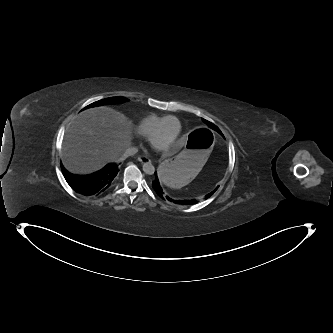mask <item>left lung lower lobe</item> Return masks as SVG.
Wrapping results in <instances>:
<instances>
[{
    "instance_id": "left-lung-lower-lobe-1",
    "label": "left lung lower lobe",
    "mask_w": 333,
    "mask_h": 333,
    "mask_svg": "<svg viewBox=\"0 0 333 333\" xmlns=\"http://www.w3.org/2000/svg\"><path fill=\"white\" fill-rule=\"evenodd\" d=\"M155 176H156V178L152 182V187H153L154 191L156 192V194L158 196L162 197V198L165 197L167 200H172V198L167 195L166 191H164L163 187L160 185V182H159V180L157 178L156 172H155ZM214 192L215 191L211 192L209 194V196H211ZM173 202H175L177 204H181V205H190V204L196 203V200H194V199L193 200H184V201H174L173 200Z\"/></svg>"
}]
</instances>
